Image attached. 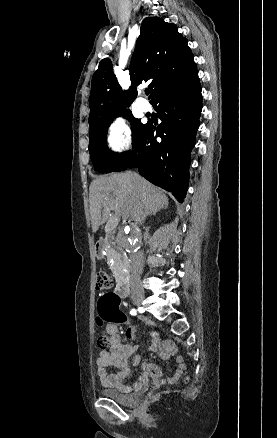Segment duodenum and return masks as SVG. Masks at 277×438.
I'll use <instances>...</instances> for the list:
<instances>
[{
    "mask_svg": "<svg viewBox=\"0 0 277 438\" xmlns=\"http://www.w3.org/2000/svg\"><path fill=\"white\" fill-rule=\"evenodd\" d=\"M106 246H107L106 242L102 239L98 240L95 243L94 249H95V254L97 257H102L103 252L106 249ZM115 291L121 297H125L128 295V293H129V277L127 274H123L119 277Z\"/></svg>",
    "mask_w": 277,
    "mask_h": 438,
    "instance_id": "410a0bca",
    "label": "duodenum"
}]
</instances>
